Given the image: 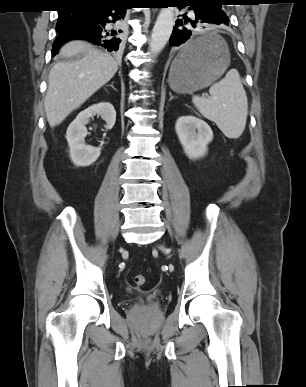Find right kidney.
Segmentation results:
<instances>
[{
    "label": "right kidney",
    "instance_id": "1",
    "mask_svg": "<svg viewBox=\"0 0 306 387\" xmlns=\"http://www.w3.org/2000/svg\"><path fill=\"white\" fill-rule=\"evenodd\" d=\"M95 115H100L106 122V129H112L115 124L116 111L109 102L94 104L77 115L66 132V139L70 148V158L76 166H89L100 156V148L86 145L85 143L87 135L86 124L89 123L90 117Z\"/></svg>",
    "mask_w": 306,
    "mask_h": 387
}]
</instances>
